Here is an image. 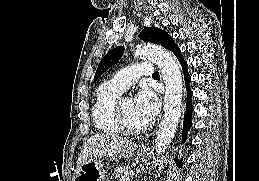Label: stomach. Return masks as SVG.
Wrapping results in <instances>:
<instances>
[{
    "mask_svg": "<svg viewBox=\"0 0 259 181\" xmlns=\"http://www.w3.org/2000/svg\"><path fill=\"white\" fill-rule=\"evenodd\" d=\"M147 150L138 152L139 158L146 161ZM106 170L98 158H92L83 163L76 171L73 181H105Z\"/></svg>",
    "mask_w": 259,
    "mask_h": 181,
    "instance_id": "obj_1",
    "label": "stomach"
}]
</instances>
